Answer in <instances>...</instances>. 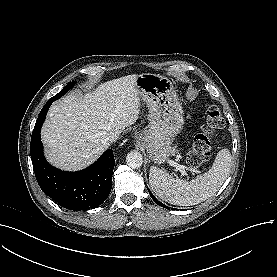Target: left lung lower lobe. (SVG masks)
Wrapping results in <instances>:
<instances>
[{
    "instance_id": "obj_1",
    "label": "left lung lower lobe",
    "mask_w": 277,
    "mask_h": 277,
    "mask_svg": "<svg viewBox=\"0 0 277 277\" xmlns=\"http://www.w3.org/2000/svg\"><path fill=\"white\" fill-rule=\"evenodd\" d=\"M147 189H148V188H147ZM148 191H149V193H150V196L152 197V199L155 201L156 204H158L159 206L164 207V208L167 209V207H166L163 203H161L160 201H158V200L153 196V194L150 192L149 189H148Z\"/></svg>"
}]
</instances>
